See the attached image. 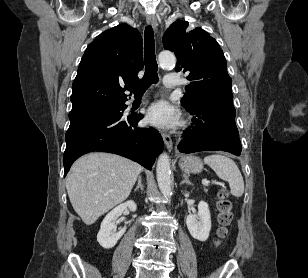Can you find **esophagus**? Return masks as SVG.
<instances>
[{
	"label": "esophagus",
	"instance_id": "obj_1",
	"mask_svg": "<svg viewBox=\"0 0 308 278\" xmlns=\"http://www.w3.org/2000/svg\"><path fill=\"white\" fill-rule=\"evenodd\" d=\"M146 21H147V23L149 25L152 26L153 30L156 32V30H157V21H156L155 17L153 15H151V14H148L146 16ZM161 135H162V138H163V141L165 143L166 148L169 151H171V149L173 147V142H172L171 136L168 133H166V132H162Z\"/></svg>",
	"mask_w": 308,
	"mask_h": 278
}]
</instances>
